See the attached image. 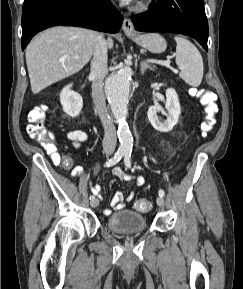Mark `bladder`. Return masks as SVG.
Wrapping results in <instances>:
<instances>
[{
  "label": "bladder",
  "mask_w": 243,
  "mask_h": 289,
  "mask_svg": "<svg viewBox=\"0 0 243 289\" xmlns=\"http://www.w3.org/2000/svg\"><path fill=\"white\" fill-rule=\"evenodd\" d=\"M107 228L119 234L141 232L146 229V218L133 210H120L110 214L106 220Z\"/></svg>",
  "instance_id": "1"
}]
</instances>
